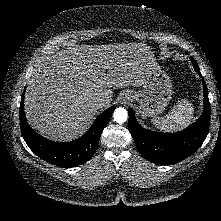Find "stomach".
<instances>
[{
  "label": "stomach",
  "instance_id": "1",
  "mask_svg": "<svg viewBox=\"0 0 221 221\" xmlns=\"http://www.w3.org/2000/svg\"><path fill=\"white\" fill-rule=\"evenodd\" d=\"M130 101L138 104L143 118L153 117L163 112L173 94L170 77L159 66L150 70L142 89L127 90Z\"/></svg>",
  "mask_w": 221,
  "mask_h": 221
}]
</instances>
